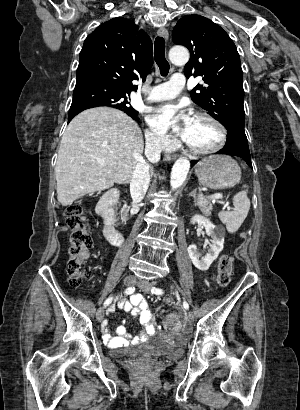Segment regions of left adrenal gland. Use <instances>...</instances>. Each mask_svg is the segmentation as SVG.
Wrapping results in <instances>:
<instances>
[{
    "label": "left adrenal gland",
    "instance_id": "a2214340",
    "mask_svg": "<svg viewBox=\"0 0 300 410\" xmlns=\"http://www.w3.org/2000/svg\"><path fill=\"white\" fill-rule=\"evenodd\" d=\"M196 191H197V189L195 188L189 195V196L193 197L195 206L197 205V193H196Z\"/></svg>",
    "mask_w": 300,
    "mask_h": 410
}]
</instances>
